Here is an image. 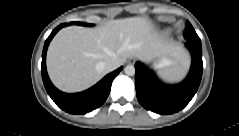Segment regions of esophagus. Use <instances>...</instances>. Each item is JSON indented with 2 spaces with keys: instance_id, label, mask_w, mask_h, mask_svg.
Wrapping results in <instances>:
<instances>
[{
  "instance_id": "esophagus-1",
  "label": "esophagus",
  "mask_w": 239,
  "mask_h": 136,
  "mask_svg": "<svg viewBox=\"0 0 239 136\" xmlns=\"http://www.w3.org/2000/svg\"><path fill=\"white\" fill-rule=\"evenodd\" d=\"M130 64H133L135 62L134 58H130L128 61Z\"/></svg>"
}]
</instances>
